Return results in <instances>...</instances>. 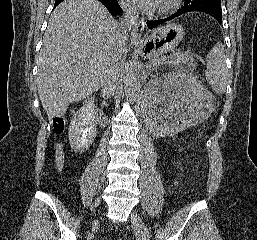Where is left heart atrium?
Segmentation results:
<instances>
[{"label":"left heart atrium","mask_w":257,"mask_h":240,"mask_svg":"<svg viewBox=\"0 0 257 240\" xmlns=\"http://www.w3.org/2000/svg\"><path fill=\"white\" fill-rule=\"evenodd\" d=\"M139 8L152 11L156 9L163 0H132Z\"/></svg>","instance_id":"obj_1"}]
</instances>
